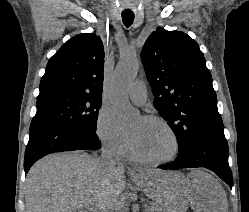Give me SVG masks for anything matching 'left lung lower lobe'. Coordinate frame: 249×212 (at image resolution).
<instances>
[{"mask_svg": "<svg viewBox=\"0 0 249 212\" xmlns=\"http://www.w3.org/2000/svg\"><path fill=\"white\" fill-rule=\"evenodd\" d=\"M229 148L223 130L208 131L194 136L188 146L179 150L178 158L161 169L204 167L215 172L232 187V172L228 164Z\"/></svg>", "mask_w": 249, "mask_h": 212, "instance_id": "obj_1", "label": "left lung lower lobe"}]
</instances>
